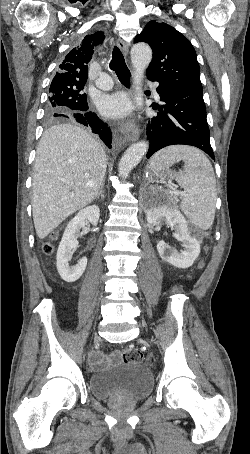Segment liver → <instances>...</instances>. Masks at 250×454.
<instances>
[{
	"label": "liver",
	"instance_id": "liver-1",
	"mask_svg": "<svg viewBox=\"0 0 250 454\" xmlns=\"http://www.w3.org/2000/svg\"><path fill=\"white\" fill-rule=\"evenodd\" d=\"M106 168L104 148L83 128L60 124L44 132L32 183L33 221L40 239L96 198Z\"/></svg>",
	"mask_w": 250,
	"mask_h": 454
}]
</instances>
